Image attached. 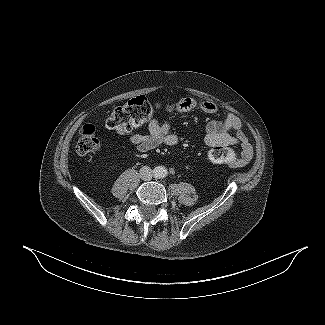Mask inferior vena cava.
Returning a JSON list of instances; mask_svg holds the SVG:
<instances>
[{
	"label": "inferior vena cava",
	"mask_w": 325,
	"mask_h": 325,
	"mask_svg": "<svg viewBox=\"0 0 325 325\" xmlns=\"http://www.w3.org/2000/svg\"><path fill=\"white\" fill-rule=\"evenodd\" d=\"M153 177V170L148 167L144 166L140 169V178L144 181H149Z\"/></svg>",
	"instance_id": "inferior-vena-cava-1"
}]
</instances>
